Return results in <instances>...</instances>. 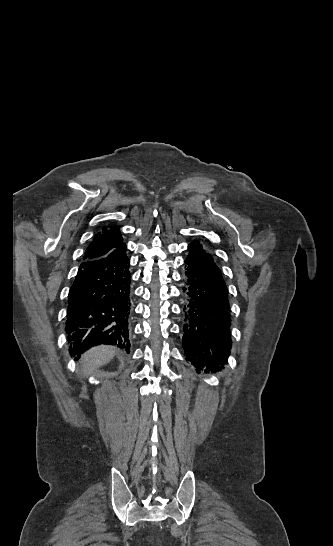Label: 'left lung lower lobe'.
Segmentation results:
<instances>
[{"label": "left lung lower lobe", "instance_id": "0a47b994", "mask_svg": "<svg viewBox=\"0 0 333 546\" xmlns=\"http://www.w3.org/2000/svg\"><path fill=\"white\" fill-rule=\"evenodd\" d=\"M185 259L187 304L184 307L183 346L186 360L197 371L227 364L231 341L228 289L213 257L194 240ZM205 371H208L206 369Z\"/></svg>", "mask_w": 333, "mask_h": 546}]
</instances>
